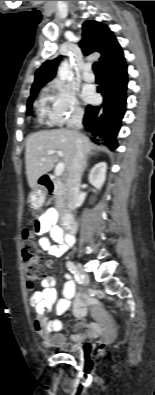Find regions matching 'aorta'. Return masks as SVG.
<instances>
[{
  "label": "aorta",
  "mask_w": 155,
  "mask_h": 395,
  "mask_svg": "<svg viewBox=\"0 0 155 395\" xmlns=\"http://www.w3.org/2000/svg\"><path fill=\"white\" fill-rule=\"evenodd\" d=\"M58 77L61 80H66L69 78V67L68 63L65 61L63 62L58 68Z\"/></svg>",
  "instance_id": "762f6f07"
}]
</instances>
